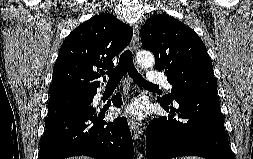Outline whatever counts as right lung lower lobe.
I'll list each match as a JSON object with an SVG mask.
<instances>
[{
	"instance_id": "obj_1",
	"label": "right lung lower lobe",
	"mask_w": 253,
	"mask_h": 159,
	"mask_svg": "<svg viewBox=\"0 0 253 159\" xmlns=\"http://www.w3.org/2000/svg\"><path fill=\"white\" fill-rule=\"evenodd\" d=\"M111 100L116 107L122 104L120 93ZM110 104L108 102L103 108L91 104L81 106L45 125L38 159H65L78 155L97 159H133V141L127 119L103 120Z\"/></svg>"
}]
</instances>
